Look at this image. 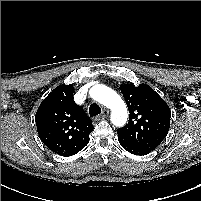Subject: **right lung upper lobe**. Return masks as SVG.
<instances>
[{
	"label": "right lung upper lobe",
	"instance_id": "cb5924a9",
	"mask_svg": "<svg viewBox=\"0 0 201 201\" xmlns=\"http://www.w3.org/2000/svg\"><path fill=\"white\" fill-rule=\"evenodd\" d=\"M72 84L57 86L41 103L35 122L42 142L53 152L71 156L89 142L92 120L73 101Z\"/></svg>",
	"mask_w": 201,
	"mask_h": 201
}]
</instances>
